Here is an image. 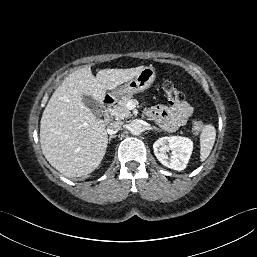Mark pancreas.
<instances>
[{
  "label": "pancreas",
  "mask_w": 257,
  "mask_h": 257,
  "mask_svg": "<svg viewBox=\"0 0 257 257\" xmlns=\"http://www.w3.org/2000/svg\"><path fill=\"white\" fill-rule=\"evenodd\" d=\"M130 95L123 97L117 105L111 110V115L115 117L116 120H123L132 116L131 112L127 108V104L132 101Z\"/></svg>",
  "instance_id": "cf45deb5"
}]
</instances>
